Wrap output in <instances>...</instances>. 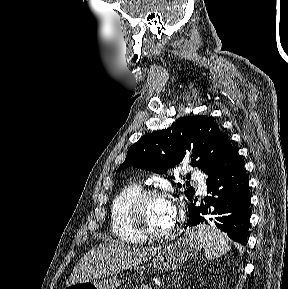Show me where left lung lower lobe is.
<instances>
[{
  "mask_svg": "<svg viewBox=\"0 0 288 289\" xmlns=\"http://www.w3.org/2000/svg\"><path fill=\"white\" fill-rule=\"evenodd\" d=\"M207 197L189 205L188 226H217L234 241L246 245L249 222V186L237 149L227 142L219 160L207 173Z\"/></svg>",
  "mask_w": 288,
  "mask_h": 289,
  "instance_id": "obj_1",
  "label": "left lung lower lobe"
}]
</instances>
